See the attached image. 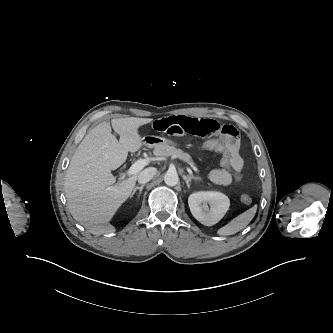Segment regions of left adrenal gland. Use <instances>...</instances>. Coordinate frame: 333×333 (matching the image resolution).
<instances>
[{
    "instance_id": "obj_1",
    "label": "left adrenal gland",
    "mask_w": 333,
    "mask_h": 333,
    "mask_svg": "<svg viewBox=\"0 0 333 333\" xmlns=\"http://www.w3.org/2000/svg\"><path fill=\"white\" fill-rule=\"evenodd\" d=\"M183 179L185 180V182H186V185H187V187L188 188H190V182L192 181V180H200V178L199 177H192V176H189V175H183Z\"/></svg>"
}]
</instances>
